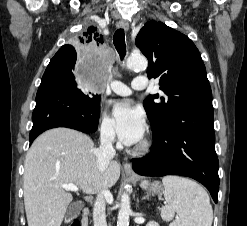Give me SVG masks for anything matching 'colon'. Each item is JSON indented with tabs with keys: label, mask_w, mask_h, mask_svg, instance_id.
Returning a JSON list of instances; mask_svg holds the SVG:
<instances>
[{
	"label": "colon",
	"mask_w": 247,
	"mask_h": 226,
	"mask_svg": "<svg viewBox=\"0 0 247 226\" xmlns=\"http://www.w3.org/2000/svg\"><path fill=\"white\" fill-rule=\"evenodd\" d=\"M68 226H81L80 221L78 219L72 221Z\"/></svg>",
	"instance_id": "obj_1"
}]
</instances>
